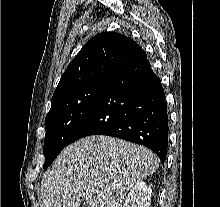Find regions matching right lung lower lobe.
<instances>
[{"mask_svg": "<svg viewBox=\"0 0 220 207\" xmlns=\"http://www.w3.org/2000/svg\"><path fill=\"white\" fill-rule=\"evenodd\" d=\"M168 130L164 90L146 56L107 80L69 144L89 135H109L148 147L164 163Z\"/></svg>", "mask_w": 220, "mask_h": 207, "instance_id": "obj_1", "label": "right lung lower lobe"}]
</instances>
